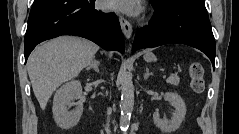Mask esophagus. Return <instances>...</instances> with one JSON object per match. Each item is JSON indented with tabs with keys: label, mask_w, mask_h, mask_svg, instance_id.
<instances>
[{
	"label": "esophagus",
	"mask_w": 239,
	"mask_h": 134,
	"mask_svg": "<svg viewBox=\"0 0 239 134\" xmlns=\"http://www.w3.org/2000/svg\"><path fill=\"white\" fill-rule=\"evenodd\" d=\"M119 22H120V25H121V28H122V31H123V34L125 35V37L127 39L131 38L132 32H133L131 23L126 18H124L122 15L119 16Z\"/></svg>",
	"instance_id": "34e87169"
}]
</instances>
